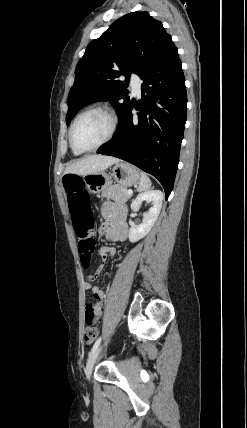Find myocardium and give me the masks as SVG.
Returning <instances> with one entry per match:
<instances>
[{"mask_svg": "<svg viewBox=\"0 0 247 428\" xmlns=\"http://www.w3.org/2000/svg\"><path fill=\"white\" fill-rule=\"evenodd\" d=\"M90 112H101V113L105 114L109 120L110 128H109L107 136L100 143H98L97 145L90 147V148H81V147H78L74 142V138H73L74 128H75L78 120L82 116H84L85 114H88ZM117 128H118V117H117L116 113L110 107L105 106V105H93V106H90V107L82 110L74 118V120L70 126V129H69V142H70L71 147L73 149L79 151V152L83 153V152L95 151V150L99 149L100 147L104 146L105 144H107L109 141L112 140V138L114 137V135L117 131Z\"/></svg>", "mask_w": 247, "mask_h": 428, "instance_id": "1", "label": "myocardium"}]
</instances>
